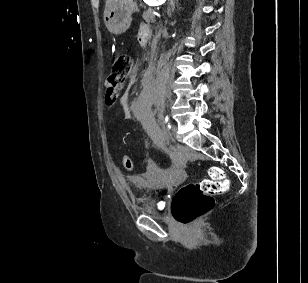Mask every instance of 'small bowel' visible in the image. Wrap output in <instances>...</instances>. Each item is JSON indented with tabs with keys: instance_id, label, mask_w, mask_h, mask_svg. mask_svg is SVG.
<instances>
[{
	"instance_id": "c3829d8e",
	"label": "small bowel",
	"mask_w": 308,
	"mask_h": 283,
	"mask_svg": "<svg viewBox=\"0 0 308 283\" xmlns=\"http://www.w3.org/2000/svg\"><path fill=\"white\" fill-rule=\"evenodd\" d=\"M147 31L146 27L142 26L140 37L143 32ZM106 88V103L109 107L115 104L120 98V103L123 109V115L125 120L131 119L133 116L138 120H143L148 115L149 102L145 95H139L132 102L128 101V93L121 95L122 85L114 86L108 81L105 82Z\"/></svg>"
}]
</instances>
